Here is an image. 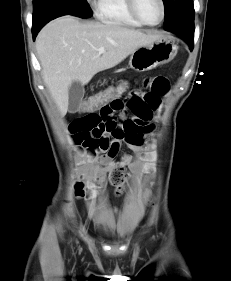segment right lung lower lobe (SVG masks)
<instances>
[{"mask_svg": "<svg viewBox=\"0 0 231 281\" xmlns=\"http://www.w3.org/2000/svg\"><path fill=\"white\" fill-rule=\"evenodd\" d=\"M75 15L79 16L80 13L76 11L75 8L66 5L59 1H49L44 6H42L36 13H33V25L32 34L35 40L39 30L50 20L63 15ZM80 17V16H79Z\"/></svg>", "mask_w": 231, "mask_h": 281, "instance_id": "obj_1", "label": "right lung lower lobe"}]
</instances>
